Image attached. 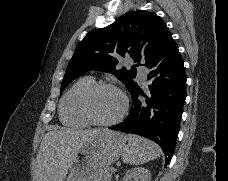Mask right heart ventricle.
I'll use <instances>...</instances> for the list:
<instances>
[{"label": "right heart ventricle", "instance_id": "obj_1", "mask_svg": "<svg viewBox=\"0 0 228 181\" xmlns=\"http://www.w3.org/2000/svg\"><path fill=\"white\" fill-rule=\"evenodd\" d=\"M94 83V79L89 76L78 79L66 94L61 108V120L64 124L72 126H85V120L79 110V100L84 91Z\"/></svg>", "mask_w": 228, "mask_h": 181}]
</instances>
